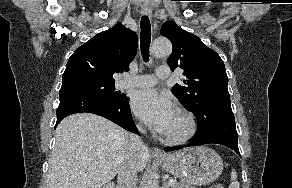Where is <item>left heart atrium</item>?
Returning a JSON list of instances; mask_svg holds the SVG:
<instances>
[{
	"instance_id": "left-heart-atrium-1",
	"label": "left heart atrium",
	"mask_w": 292,
	"mask_h": 188,
	"mask_svg": "<svg viewBox=\"0 0 292 188\" xmlns=\"http://www.w3.org/2000/svg\"><path fill=\"white\" fill-rule=\"evenodd\" d=\"M134 113L146 124L165 133L176 114V108L166 94L154 89L138 91L132 99Z\"/></svg>"
}]
</instances>
